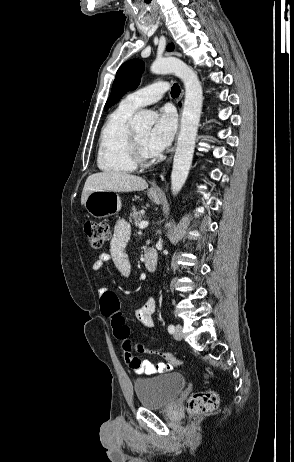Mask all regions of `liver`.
Here are the masks:
<instances>
[{
    "label": "liver",
    "mask_w": 294,
    "mask_h": 462,
    "mask_svg": "<svg viewBox=\"0 0 294 462\" xmlns=\"http://www.w3.org/2000/svg\"><path fill=\"white\" fill-rule=\"evenodd\" d=\"M148 187L145 179L127 173L106 171L90 175L84 185L81 204L84 205L88 195L93 191L132 192Z\"/></svg>",
    "instance_id": "1"
}]
</instances>
